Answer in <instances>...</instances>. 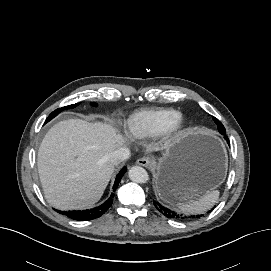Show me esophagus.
Instances as JSON below:
<instances>
[{
    "mask_svg": "<svg viewBox=\"0 0 271 271\" xmlns=\"http://www.w3.org/2000/svg\"><path fill=\"white\" fill-rule=\"evenodd\" d=\"M137 164L146 168H150L152 167L153 162L149 157H142L137 160Z\"/></svg>",
    "mask_w": 271,
    "mask_h": 271,
    "instance_id": "obj_1",
    "label": "esophagus"
}]
</instances>
